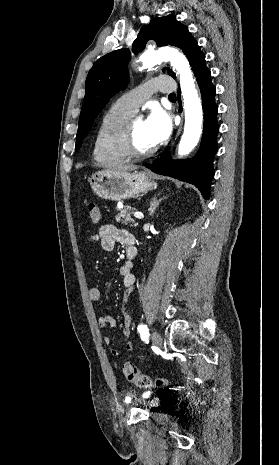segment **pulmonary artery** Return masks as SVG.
Returning a JSON list of instances; mask_svg holds the SVG:
<instances>
[{"mask_svg": "<svg viewBox=\"0 0 279 465\" xmlns=\"http://www.w3.org/2000/svg\"><path fill=\"white\" fill-rule=\"evenodd\" d=\"M173 91L174 85L171 79L160 76L153 78L139 87L123 94L118 98L117 103L127 110L135 113L154 92L172 93Z\"/></svg>", "mask_w": 279, "mask_h": 465, "instance_id": "obj_1", "label": "pulmonary artery"}]
</instances>
